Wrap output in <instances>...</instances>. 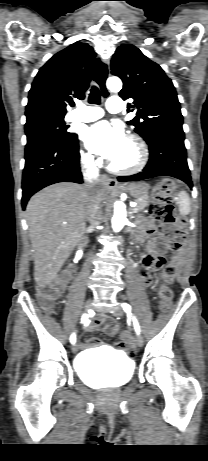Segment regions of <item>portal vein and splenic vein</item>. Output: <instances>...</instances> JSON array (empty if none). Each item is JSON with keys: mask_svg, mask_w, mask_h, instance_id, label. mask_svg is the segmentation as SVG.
Masks as SVG:
<instances>
[{"mask_svg": "<svg viewBox=\"0 0 208 461\" xmlns=\"http://www.w3.org/2000/svg\"><path fill=\"white\" fill-rule=\"evenodd\" d=\"M130 206H131V208L135 209V208H136V206H137V203H135V202H131V203H130ZM134 211H135V210H134Z\"/></svg>", "mask_w": 208, "mask_h": 461, "instance_id": "18ae733b", "label": "portal vein and splenic vein"}]
</instances>
